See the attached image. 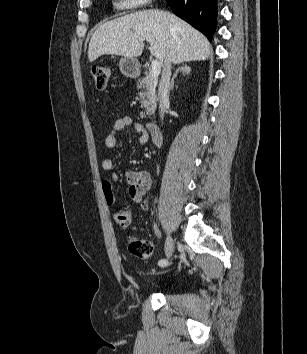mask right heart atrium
<instances>
[{"label": "right heart atrium", "mask_w": 307, "mask_h": 354, "mask_svg": "<svg viewBox=\"0 0 307 354\" xmlns=\"http://www.w3.org/2000/svg\"><path fill=\"white\" fill-rule=\"evenodd\" d=\"M152 0H118V6L124 9H133L150 4Z\"/></svg>", "instance_id": "right-heart-atrium-1"}]
</instances>
